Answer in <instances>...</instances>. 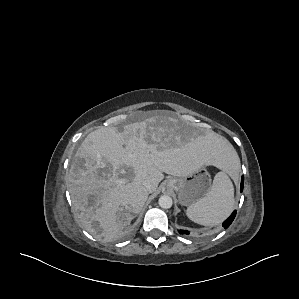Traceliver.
<instances>
[{"label": "liver", "mask_w": 299, "mask_h": 299, "mask_svg": "<svg viewBox=\"0 0 299 299\" xmlns=\"http://www.w3.org/2000/svg\"><path fill=\"white\" fill-rule=\"evenodd\" d=\"M237 156L227 139L213 131L198 134L165 115L141 122L101 127L78 148L68 175V189L78 222L105 240L123 236L157 190L164 173L188 175L204 165L229 169ZM151 183V192L144 187Z\"/></svg>", "instance_id": "liver-1"}]
</instances>
